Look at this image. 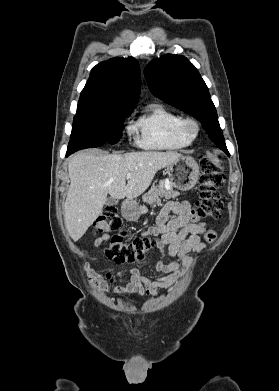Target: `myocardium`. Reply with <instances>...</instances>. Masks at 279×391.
Here are the masks:
<instances>
[{
    "mask_svg": "<svg viewBox=\"0 0 279 391\" xmlns=\"http://www.w3.org/2000/svg\"><path fill=\"white\" fill-rule=\"evenodd\" d=\"M199 123L191 117H185L181 119L179 125L180 135L189 142L195 140L199 133Z\"/></svg>",
    "mask_w": 279,
    "mask_h": 391,
    "instance_id": "f54148a6",
    "label": "myocardium"
}]
</instances>
